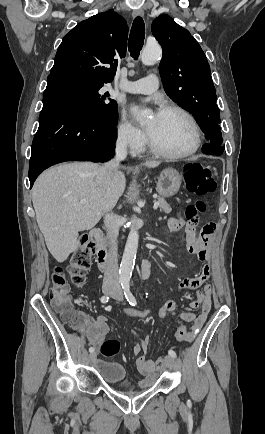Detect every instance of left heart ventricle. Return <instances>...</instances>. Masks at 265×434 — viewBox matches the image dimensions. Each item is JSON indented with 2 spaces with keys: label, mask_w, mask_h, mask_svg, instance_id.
Returning a JSON list of instances; mask_svg holds the SVG:
<instances>
[{
  "label": "left heart ventricle",
  "mask_w": 265,
  "mask_h": 434,
  "mask_svg": "<svg viewBox=\"0 0 265 434\" xmlns=\"http://www.w3.org/2000/svg\"><path fill=\"white\" fill-rule=\"evenodd\" d=\"M153 118L149 121V125ZM152 143L165 152L178 153L189 148L193 142V129L179 112L160 113L149 134Z\"/></svg>",
  "instance_id": "obj_1"
}]
</instances>
